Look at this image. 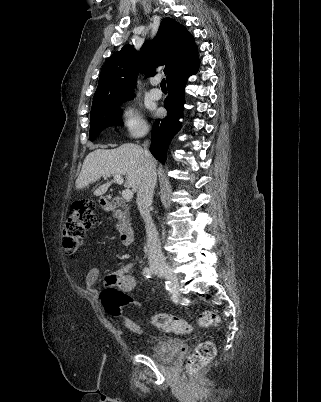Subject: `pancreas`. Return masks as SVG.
Wrapping results in <instances>:
<instances>
[{
    "mask_svg": "<svg viewBox=\"0 0 321 402\" xmlns=\"http://www.w3.org/2000/svg\"><path fill=\"white\" fill-rule=\"evenodd\" d=\"M118 206H121L122 209H123V211L117 210V211L115 212V214L118 216V218H121V219H128L129 210H128L127 206H126L125 204H122V202H121L120 204H118Z\"/></svg>",
    "mask_w": 321,
    "mask_h": 402,
    "instance_id": "1",
    "label": "pancreas"
}]
</instances>
